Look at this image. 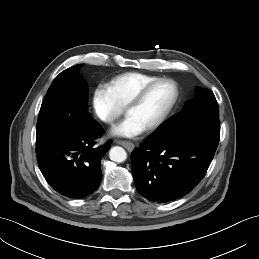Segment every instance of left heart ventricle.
Instances as JSON below:
<instances>
[{
    "mask_svg": "<svg viewBox=\"0 0 259 259\" xmlns=\"http://www.w3.org/2000/svg\"><path fill=\"white\" fill-rule=\"evenodd\" d=\"M173 96L174 88L170 83H159L153 86L142 101L127 112V115L132 116L146 128L161 117Z\"/></svg>",
    "mask_w": 259,
    "mask_h": 259,
    "instance_id": "left-heart-ventricle-1",
    "label": "left heart ventricle"
}]
</instances>
